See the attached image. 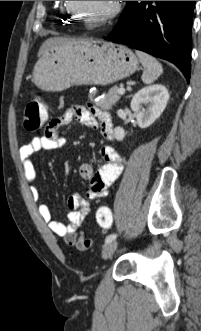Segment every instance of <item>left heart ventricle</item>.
<instances>
[{
  "mask_svg": "<svg viewBox=\"0 0 201 331\" xmlns=\"http://www.w3.org/2000/svg\"><path fill=\"white\" fill-rule=\"evenodd\" d=\"M112 1H72L76 11L86 19H95L106 13Z\"/></svg>",
  "mask_w": 201,
  "mask_h": 331,
  "instance_id": "b2bd125f",
  "label": "left heart ventricle"
}]
</instances>
